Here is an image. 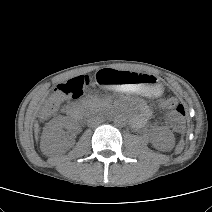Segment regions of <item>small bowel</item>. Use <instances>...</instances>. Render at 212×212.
<instances>
[{
	"label": "small bowel",
	"mask_w": 212,
	"mask_h": 212,
	"mask_svg": "<svg viewBox=\"0 0 212 212\" xmlns=\"http://www.w3.org/2000/svg\"><path fill=\"white\" fill-rule=\"evenodd\" d=\"M142 110H143V115H147L148 112H149L148 109H147L146 107H143Z\"/></svg>",
	"instance_id": "obj_1"
}]
</instances>
